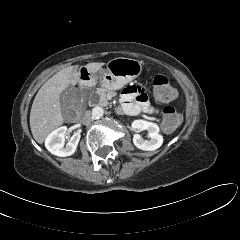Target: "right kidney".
I'll use <instances>...</instances> for the list:
<instances>
[{
  "instance_id": "ca27d5eb",
  "label": "right kidney",
  "mask_w": 240,
  "mask_h": 240,
  "mask_svg": "<svg viewBox=\"0 0 240 240\" xmlns=\"http://www.w3.org/2000/svg\"><path fill=\"white\" fill-rule=\"evenodd\" d=\"M66 133V126L59 127L50 133L45 140L46 149L59 157H66L74 154L81 135L79 133H74L68 143L65 145Z\"/></svg>"
}]
</instances>
